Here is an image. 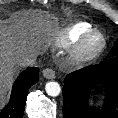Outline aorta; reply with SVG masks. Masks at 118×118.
Returning <instances> with one entry per match:
<instances>
[{"mask_svg": "<svg viewBox=\"0 0 118 118\" xmlns=\"http://www.w3.org/2000/svg\"><path fill=\"white\" fill-rule=\"evenodd\" d=\"M45 91L49 96L56 97L61 92L59 83L55 81L47 82L45 85Z\"/></svg>", "mask_w": 118, "mask_h": 118, "instance_id": "obj_1", "label": "aorta"}]
</instances>
